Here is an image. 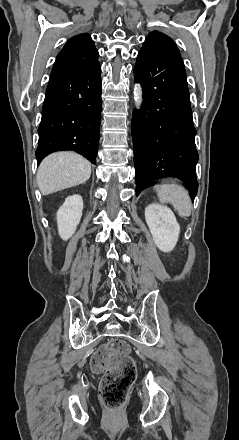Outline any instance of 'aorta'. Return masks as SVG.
Segmentation results:
<instances>
[{
	"instance_id": "aorta-1",
	"label": "aorta",
	"mask_w": 239,
	"mask_h": 440,
	"mask_svg": "<svg viewBox=\"0 0 239 440\" xmlns=\"http://www.w3.org/2000/svg\"><path fill=\"white\" fill-rule=\"evenodd\" d=\"M134 100L136 102L137 108H140L143 102L142 90L140 86H135L134 88Z\"/></svg>"
}]
</instances>
